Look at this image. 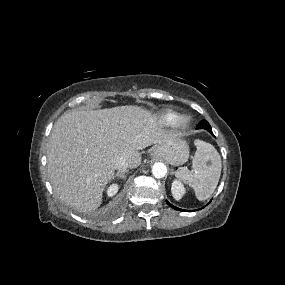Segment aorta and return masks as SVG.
<instances>
[{
	"label": "aorta",
	"instance_id": "1",
	"mask_svg": "<svg viewBox=\"0 0 285 285\" xmlns=\"http://www.w3.org/2000/svg\"><path fill=\"white\" fill-rule=\"evenodd\" d=\"M167 173V167L165 164L158 162L152 166V174L156 178H163Z\"/></svg>",
	"mask_w": 285,
	"mask_h": 285
}]
</instances>
